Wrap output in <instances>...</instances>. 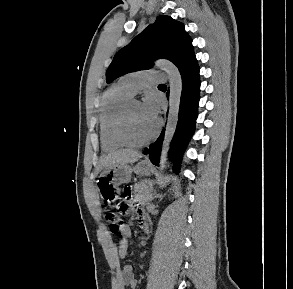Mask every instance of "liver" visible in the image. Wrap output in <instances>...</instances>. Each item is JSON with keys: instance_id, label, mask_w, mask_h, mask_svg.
Listing matches in <instances>:
<instances>
[{"instance_id": "liver-1", "label": "liver", "mask_w": 293, "mask_h": 289, "mask_svg": "<svg viewBox=\"0 0 293 289\" xmlns=\"http://www.w3.org/2000/svg\"><path fill=\"white\" fill-rule=\"evenodd\" d=\"M142 157L140 152L134 150H117L101 159V167L108 169L115 164H129L138 161Z\"/></svg>"}]
</instances>
